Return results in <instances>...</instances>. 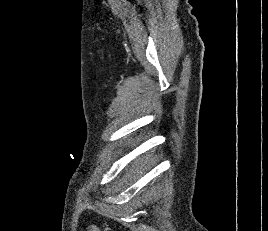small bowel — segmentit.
Segmentation results:
<instances>
[{
    "label": "small bowel",
    "mask_w": 268,
    "mask_h": 231,
    "mask_svg": "<svg viewBox=\"0 0 268 231\" xmlns=\"http://www.w3.org/2000/svg\"><path fill=\"white\" fill-rule=\"evenodd\" d=\"M86 231H99L98 227L94 224L88 225Z\"/></svg>",
    "instance_id": "small-bowel-1"
}]
</instances>
